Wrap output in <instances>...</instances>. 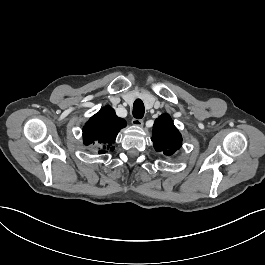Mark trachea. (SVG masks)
Segmentation results:
<instances>
[{
    "instance_id": "trachea-1",
    "label": "trachea",
    "mask_w": 265,
    "mask_h": 265,
    "mask_svg": "<svg viewBox=\"0 0 265 265\" xmlns=\"http://www.w3.org/2000/svg\"><path fill=\"white\" fill-rule=\"evenodd\" d=\"M144 113H145V108L143 102L140 99L135 100L133 104V116L136 119H141L143 118Z\"/></svg>"
}]
</instances>
